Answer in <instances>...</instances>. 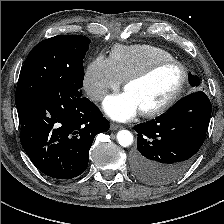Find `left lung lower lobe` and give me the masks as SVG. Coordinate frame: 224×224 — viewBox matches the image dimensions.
Wrapping results in <instances>:
<instances>
[{"label": "left lung lower lobe", "mask_w": 224, "mask_h": 224, "mask_svg": "<svg viewBox=\"0 0 224 224\" xmlns=\"http://www.w3.org/2000/svg\"><path fill=\"white\" fill-rule=\"evenodd\" d=\"M211 117V102L196 91L167 113L134 126L138 133L133 155L137 178L153 185L168 184L190 167L203 144Z\"/></svg>", "instance_id": "0a47b994"}]
</instances>
